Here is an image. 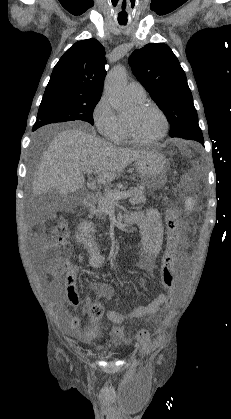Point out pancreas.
<instances>
[{
	"label": "pancreas",
	"instance_id": "obj_1",
	"mask_svg": "<svg viewBox=\"0 0 231 419\" xmlns=\"http://www.w3.org/2000/svg\"><path fill=\"white\" fill-rule=\"evenodd\" d=\"M129 190L132 192L131 198L129 199L132 205L146 203L144 188L132 187ZM118 192H122V191L119 188H115L113 190L107 191L104 195L98 196L95 203V205H97V208L95 205L91 206L89 216L90 217H92L93 215L101 216L102 214H105L113 203L109 198V194L118 193Z\"/></svg>",
	"mask_w": 231,
	"mask_h": 419
}]
</instances>
